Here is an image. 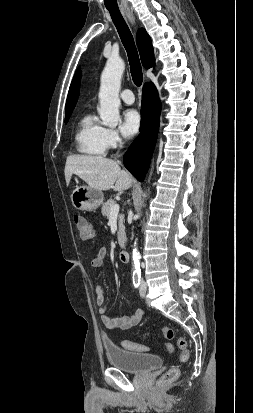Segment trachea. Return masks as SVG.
<instances>
[{
    "mask_svg": "<svg viewBox=\"0 0 253 413\" xmlns=\"http://www.w3.org/2000/svg\"><path fill=\"white\" fill-rule=\"evenodd\" d=\"M109 13L127 51L132 80L136 86H141L143 82L142 67L132 33L119 10L109 9Z\"/></svg>",
    "mask_w": 253,
    "mask_h": 413,
    "instance_id": "1",
    "label": "trachea"
}]
</instances>
